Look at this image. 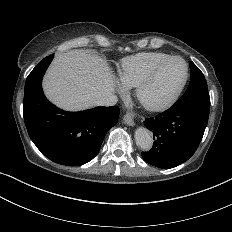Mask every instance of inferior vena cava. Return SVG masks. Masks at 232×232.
I'll list each match as a JSON object with an SVG mask.
<instances>
[{"instance_id": "602c4592", "label": "inferior vena cava", "mask_w": 232, "mask_h": 232, "mask_svg": "<svg viewBox=\"0 0 232 232\" xmlns=\"http://www.w3.org/2000/svg\"><path fill=\"white\" fill-rule=\"evenodd\" d=\"M117 101L118 98L116 95L108 94L97 100L95 104L100 106H114L117 103Z\"/></svg>"}]
</instances>
